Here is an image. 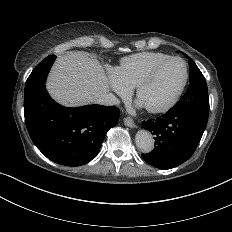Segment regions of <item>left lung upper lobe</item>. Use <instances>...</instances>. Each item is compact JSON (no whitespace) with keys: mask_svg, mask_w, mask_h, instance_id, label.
I'll return each instance as SVG.
<instances>
[{"mask_svg":"<svg viewBox=\"0 0 232 232\" xmlns=\"http://www.w3.org/2000/svg\"><path fill=\"white\" fill-rule=\"evenodd\" d=\"M183 54L187 57L185 53ZM188 59L190 60V84L186 93L171 110L190 111L208 120L209 97L206 80L194 61L190 57Z\"/></svg>","mask_w":232,"mask_h":232,"instance_id":"1","label":"left lung upper lobe"}]
</instances>
